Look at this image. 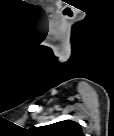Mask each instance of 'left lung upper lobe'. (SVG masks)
<instances>
[{
    "mask_svg": "<svg viewBox=\"0 0 114 136\" xmlns=\"http://www.w3.org/2000/svg\"><path fill=\"white\" fill-rule=\"evenodd\" d=\"M39 136H82L81 125L75 121L64 120L51 125L35 128Z\"/></svg>",
    "mask_w": 114,
    "mask_h": 136,
    "instance_id": "1",
    "label": "left lung upper lobe"
}]
</instances>
